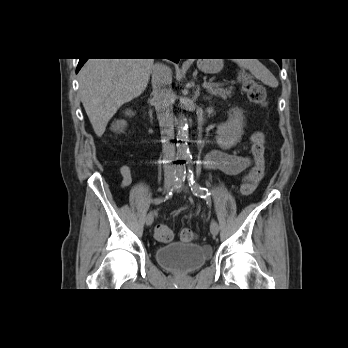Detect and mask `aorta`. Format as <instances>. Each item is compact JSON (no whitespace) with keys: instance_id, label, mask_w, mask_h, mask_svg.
Listing matches in <instances>:
<instances>
[{"instance_id":"1","label":"aorta","mask_w":348,"mask_h":348,"mask_svg":"<svg viewBox=\"0 0 348 348\" xmlns=\"http://www.w3.org/2000/svg\"><path fill=\"white\" fill-rule=\"evenodd\" d=\"M177 153L182 158H188L190 156V150L188 145V124L187 119L181 115L178 118V133H177Z\"/></svg>"}]
</instances>
